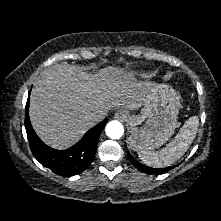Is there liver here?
I'll return each mask as SVG.
<instances>
[{
  "label": "liver",
  "instance_id": "1",
  "mask_svg": "<svg viewBox=\"0 0 221 221\" xmlns=\"http://www.w3.org/2000/svg\"><path fill=\"white\" fill-rule=\"evenodd\" d=\"M149 85L122 68L90 74L69 64H55L33 84L30 121L44 143L63 150L93 125L86 120L89 115L105 117L112 109L141 107Z\"/></svg>",
  "mask_w": 221,
  "mask_h": 221
}]
</instances>
